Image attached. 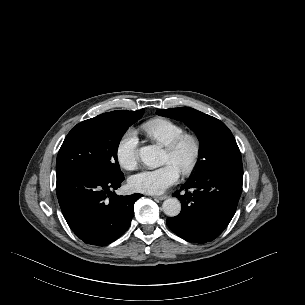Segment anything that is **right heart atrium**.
<instances>
[{
  "label": "right heart atrium",
  "mask_w": 305,
  "mask_h": 305,
  "mask_svg": "<svg viewBox=\"0 0 305 305\" xmlns=\"http://www.w3.org/2000/svg\"><path fill=\"white\" fill-rule=\"evenodd\" d=\"M118 164L126 170L134 169L139 161L138 139L133 130L126 131L115 148Z\"/></svg>",
  "instance_id": "1"
}]
</instances>
